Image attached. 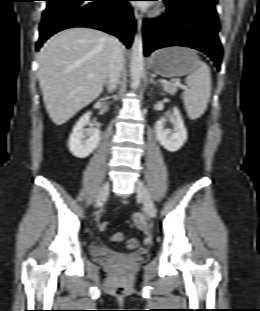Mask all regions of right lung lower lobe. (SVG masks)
Wrapping results in <instances>:
<instances>
[{"label":"right lung lower lobe","mask_w":260,"mask_h":311,"mask_svg":"<svg viewBox=\"0 0 260 311\" xmlns=\"http://www.w3.org/2000/svg\"><path fill=\"white\" fill-rule=\"evenodd\" d=\"M36 51L50 36L71 27H89L116 35L130 47L135 30L128 0H46Z\"/></svg>","instance_id":"1"}]
</instances>
